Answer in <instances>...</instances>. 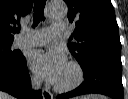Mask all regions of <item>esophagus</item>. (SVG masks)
Here are the masks:
<instances>
[{
  "instance_id": "34e87169",
  "label": "esophagus",
  "mask_w": 128,
  "mask_h": 99,
  "mask_svg": "<svg viewBox=\"0 0 128 99\" xmlns=\"http://www.w3.org/2000/svg\"><path fill=\"white\" fill-rule=\"evenodd\" d=\"M43 99H53L52 93L48 89L42 90Z\"/></svg>"
}]
</instances>
